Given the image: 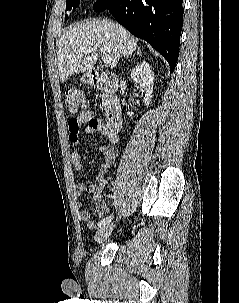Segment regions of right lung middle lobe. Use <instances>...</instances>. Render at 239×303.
<instances>
[{
  "mask_svg": "<svg viewBox=\"0 0 239 303\" xmlns=\"http://www.w3.org/2000/svg\"><path fill=\"white\" fill-rule=\"evenodd\" d=\"M105 0H97L96 4L94 5V9L99 7L103 4ZM80 0H66V11H70L72 8L76 9L79 6ZM68 19V16H65V20Z\"/></svg>",
  "mask_w": 239,
  "mask_h": 303,
  "instance_id": "dd1d6c3e",
  "label": "right lung middle lobe"
}]
</instances>
